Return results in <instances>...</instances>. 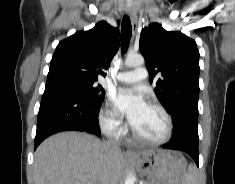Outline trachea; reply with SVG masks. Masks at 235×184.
<instances>
[{"mask_svg": "<svg viewBox=\"0 0 235 184\" xmlns=\"http://www.w3.org/2000/svg\"><path fill=\"white\" fill-rule=\"evenodd\" d=\"M132 26L129 17L124 15L121 26V50L126 52L131 39Z\"/></svg>", "mask_w": 235, "mask_h": 184, "instance_id": "trachea-1", "label": "trachea"}]
</instances>
